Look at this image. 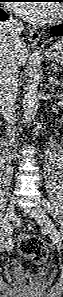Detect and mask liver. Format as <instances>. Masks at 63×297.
<instances>
[{
    "label": "liver",
    "instance_id": "liver-1",
    "mask_svg": "<svg viewBox=\"0 0 63 297\" xmlns=\"http://www.w3.org/2000/svg\"><path fill=\"white\" fill-rule=\"evenodd\" d=\"M11 43L9 39L1 35L0 31V60L1 56L6 57L9 54ZM15 51V60L17 66H22L26 63L28 57V49L26 44L22 41L20 44L14 47Z\"/></svg>",
    "mask_w": 63,
    "mask_h": 297
}]
</instances>
